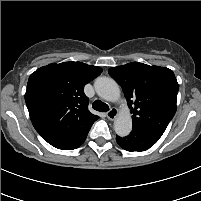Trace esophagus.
<instances>
[{
  "label": "esophagus",
  "instance_id": "34e87169",
  "mask_svg": "<svg viewBox=\"0 0 201 201\" xmlns=\"http://www.w3.org/2000/svg\"><path fill=\"white\" fill-rule=\"evenodd\" d=\"M118 115V110L116 108H111L107 113L106 116L109 120H114Z\"/></svg>",
  "mask_w": 201,
  "mask_h": 201
}]
</instances>
